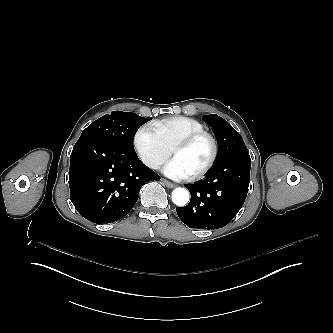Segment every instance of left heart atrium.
<instances>
[{"instance_id": "1", "label": "left heart atrium", "mask_w": 333, "mask_h": 333, "mask_svg": "<svg viewBox=\"0 0 333 333\" xmlns=\"http://www.w3.org/2000/svg\"><path fill=\"white\" fill-rule=\"evenodd\" d=\"M163 173L176 180H184L187 179L190 174L183 168L180 162L172 158L170 159L163 168Z\"/></svg>"}]
</instances>
